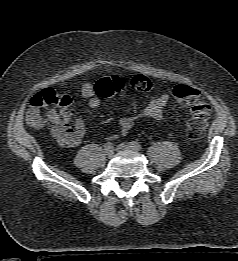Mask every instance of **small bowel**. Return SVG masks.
<instances>
[{
  "instance_id": "small-bowel-1",
  "label": "small bowel",
  "mask_w": 238,
  "mask_h": 261,
  "mask_svg": "<svg viewBox=\"0 0 238 261\" xmlns=\"http://www.w3.org/2000/svg\"><path fill=\"white\" fill-rule=\"evenodd\" d=\"M81 94L84 98L89 100V106L93 109H97L101 105V96L96 92L95 84L86 82L82 85ZM169 96L167 94H161L154 96L147 106L139 113L123 117L118 120L119 132L116 136L126 135L134 123L140 118L160 120L164 116ZM48 120L53 125L52 134L58 140V142L65 147H76L80 144L82 138L86 133V124L80 119L76 118L71 123V116L69 112L58 113L52 111ZM112 119H107L103 123L110 124Z\"/></svg>"
}]
</instances>
